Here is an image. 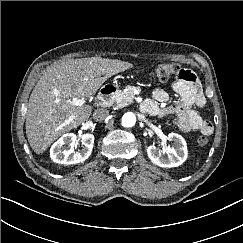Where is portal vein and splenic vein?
<instances>
[{"instance_id": "obj_1", "label": "portal vein and splenic vein", "mask_w": 243, "mask_h": 243, "mask_svg": "<svg viewBox=\"0 0 243 243\" xmlns=\"http://www.w3.org/2000/svg\"><path fill=\"white\" fill-rule=\"evenodd\" d=\"M85 99L84 98H75L72 103L75 106H82L85 103Z\"/></svg>"}]
</instances>
